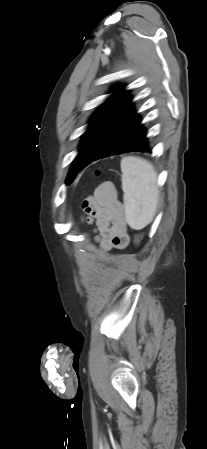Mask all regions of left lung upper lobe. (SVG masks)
<instances>
[{"label": "left lung upper lobe", "instance_id": "obj_1", "mask_svg": "<svg viewBox=\"0 0 207 449\" xmlns=\"http://www.w3.org/2000/svg\"><path fill=\"white\" fill-rule=\"evenodd\" d=\"M122 88L123 86H119L113 92ZM130 100L128 91L119 92L104 102L93 115L90 120V127L81 141L79 154L71 165L66 179L67 185L74 180L81 169L92 162L112 130L133 111L134 107Z\"/></svg>", "mask_w": 207, "mask_h": 449}]
</instances>
